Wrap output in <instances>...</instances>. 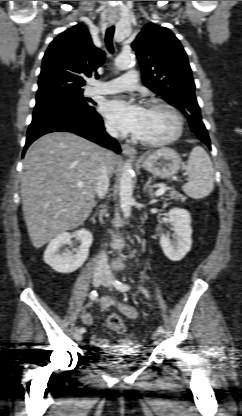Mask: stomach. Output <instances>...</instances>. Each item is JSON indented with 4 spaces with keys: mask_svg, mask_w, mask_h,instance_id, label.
<instances>
[{
    "mask_svg": "<svg viewBox=\"0 0 242 416\" xmlns=\"http://www.w3.org/2000/svg\"><path fill=\"white\" fill-rule=\"evenodd\" d=\"M139 162L145 170L162 179L177 174L182 164L179 154L167 147L144 155Z\"/></svg>",
    "mask_w": 242,
    "mask_h": 416,
    "instance_id": "obj_1",
    "label": "stomach"
}]
</instances>
